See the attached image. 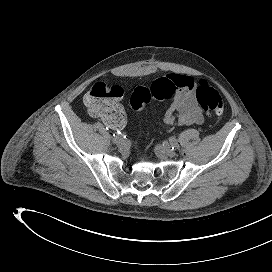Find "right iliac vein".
<instances>
[{
  "instance_id": "right-iliac-vein-1",
  "label": "right iliac vein",
  "mask_w": 272,
  "mask_h": 272,
  "mask_svg": "<svg viewBox=\"0 0 272 272\" xmlns=\"http://www.w3.org/2000/svg\"><path fill=\"white\" fill-rule=\"evenodd\" d=\"M127 146V141L123 138L119 139L117 142V147L123 149Z\"/></svg>"
}]
</instances>
